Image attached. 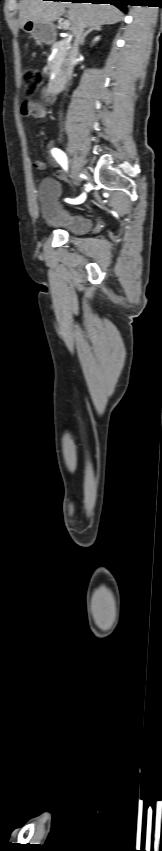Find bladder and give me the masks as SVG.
I'll return each instance as SVG.
<instances>
[{"instance_id":"1","label":"bladder","mask_w":162,"mask_h":851,"mask_svg":"<svg viewBox=\"0 0 162 851\" xmlns=\"http://www.w3.org/2000/svg\"><path fill=\"white\" fill-rule=\"evenodd\" d=\"M60 185L53 179H44L38 188V199L45 223L49 228L62 230L72 236L85 235L92 226L91 220L66 208L60 200Z\"/></svg>"}]
</instances>
